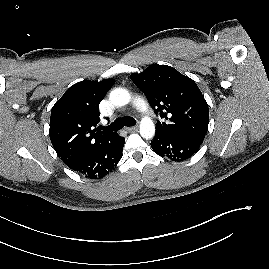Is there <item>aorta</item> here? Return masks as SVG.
Returning a JSON list of instances; mask_svg holds the SVG:
<instances>
[{
	"instance_id": "762f6f07",
	"label": "aorta",
	"mask_w": 269,
	"mask_h": 269,
	"mask_svg": "<svg viewBox=\"0 0 269 269\" xmlns=\"http://www.w3.org/2000/svg\"><path fill=\"white\" fill-rule=\"evenodd\" d=\"M110 101L118 107L125 106L130 102L131 96L124 88H116L109 95ZM155 134V125L151 118L144 117L140 122V135L145 139H151Z\"/></svg>"
}]
</instances>
